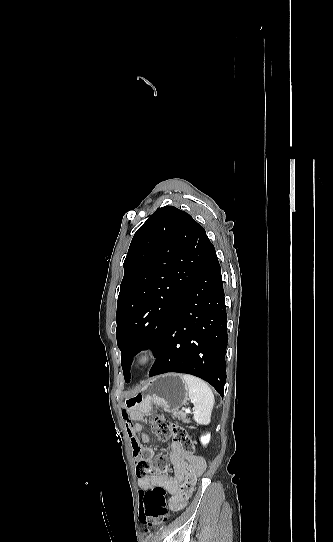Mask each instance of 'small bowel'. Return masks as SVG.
<instances>
[{"instance_id":"small-bowel-1","label":"small bowel","mask_w":333,"mask_h":542,"mask_svg":"<svg viewBox=\"0 0 333 542\" xmlns=\"http://www.w3.org/2000/svg\"><path fill=\"white\" fill-rule=\"evenodd\" d=\"M135 415L136 413L134 414L132 409H123L121 412L133 449L132 457L148 463L155 457L154 451L148 447L143 448L142 444H148L150 438L142 431L140 424H131L134 420L133 417L136 418ZM142 450H145V453H142ZM158 458L161 460L163 457L160 455ZM170 464L174 472L173 477L157 471L150 476L141 478L139 485L142 489L155 486L163 487L169 495V508L173 511H179L188 503L192 487L205 472L206 461L202 457L186 451L179 441L174 440L170 445ZM186 484L190 485L189 491H184Z\"/></svg>"}]
</instances>
